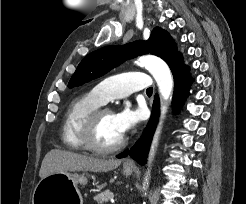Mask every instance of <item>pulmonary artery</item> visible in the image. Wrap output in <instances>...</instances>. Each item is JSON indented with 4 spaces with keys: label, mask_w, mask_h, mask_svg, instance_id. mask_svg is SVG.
<instances>
[{
    "label": "pulmonary artery",
    "mask_w": 246,
    "mask_h": 204,
    "mask_svg": "<svg viewBox=\"0 0 246 204\" xmlns=\"http://www.w3.org/2000/svg\"><path fill=\"white\" fill-rule=\"evenodd\" d=\"M151 87L150 77L143 72H127L108 77L97 84L91 93L101 104L109 100L123 98L134 91Z\"/></svg>",
    "instance_id": "obj_1"
}]
</instances>
